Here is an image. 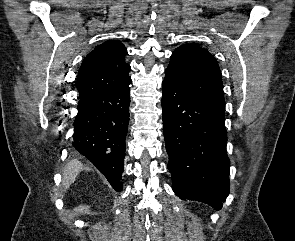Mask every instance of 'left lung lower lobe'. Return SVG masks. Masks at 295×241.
Listing matches in <instances>:
<instances>
[{"mask_svg": "<svg viewBox=\"0 0 295 241\" xmlns=\"http://www.w3.org/2000/svg\"><path fill=\"white\" fill-rule=\"evenodd\" d=\"M163 132L174 193L219 210L229 194L225 107L186 90L165 72Z\"/></svg>", "mask_w": 295, "mask_h": 241, "instance_id": "obj_1", "label": "left lung lower lobe"}]
</instances>
